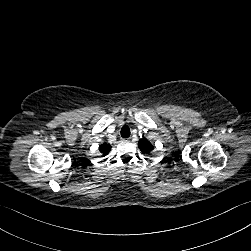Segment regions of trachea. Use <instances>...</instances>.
<instances>
[{"label": "trachea", "mask_w": 251, "mask_h": 251, "mask_svg": "<svg viewBox=\"0 0 251 251\" xmlns=\"http://www.w3.org/2000/svg\"><path fill=\"white\" fill-rule=\"evenodd\" d=\"M120 133H121V136H122L123 138H128V137L130 136V134H131L129 126L124 125V126L121 128Z\"/></svg>", "instance_id": "3493384b"}]
</instances>
